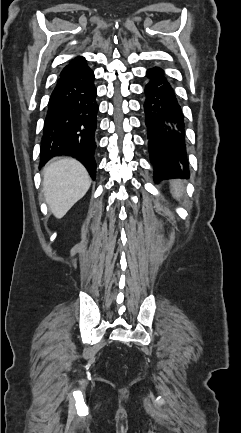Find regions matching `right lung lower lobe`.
<instances>
[{
  "label": "right lung lower lobe",
  "instance_id": "98d812e1",
  "mask_svg": "<svg viewBox=\"0 0 241 433\" xmlns=\"http://www.w3.org/2000/svg\"><path fill=\"white\" fill-rule=\"evenodd\" d=\"M97 90L85 62L60 75L50 96L41 141V166L56 155H70L96 177Z\"/></svg>",
  "mask_w": 241,
  "mask_h": 433
}]
</instances>
